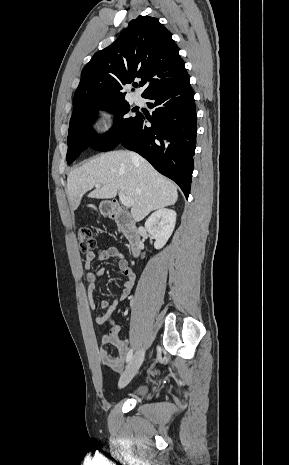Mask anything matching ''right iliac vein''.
Here are the masks:
<instances>
[{
	"label": "right iliac vein",
	"instance_id": "63e3f726",
	"mask_svg": "<svg viewBox=\"0 0 289 465\" xmlns=\"http://www.w3.org/2000/svg\"><path fill=\"white\" fill-rule=\"evenodd\" d=\"M144 355V349H139L134 354V356L129 361L125 371L120 377L119 388L125 387L133 379L144 360Z\"/></svg>",
	"mask_w": 289,
	"mask_h": 465
}]
</instances>
